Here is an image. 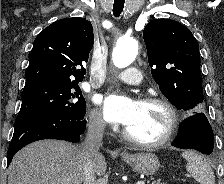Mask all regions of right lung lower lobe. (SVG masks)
<instances>
[{"instance_id":"1","label":"right lung lower lobe","mask_w":224,"mask_h":184,"mask_svg":"<svg viewBox=\"0 0 224 184\" xmlns=\"http://www.w3.org/2000/svg\"><path fill=\"white\" fill-rule=\"evenodd\" d=\"M84 118L47 115L33 118L15 127L7 154V166L13 156L27 144L42 139H58L77 143L84 133Z\"/></svg>"}]
</instances>
